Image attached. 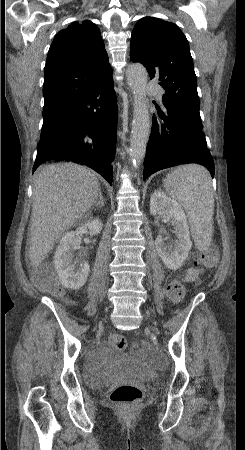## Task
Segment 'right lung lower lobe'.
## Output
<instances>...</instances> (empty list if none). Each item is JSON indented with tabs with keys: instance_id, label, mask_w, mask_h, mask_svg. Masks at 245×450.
I'll use <instances>...</instances> for the list:
<instances>
[{
	"instance_id": "1",
	"label": "right lung lower lobe",
	"mask_w": 245,
	"mask_h": 450,
	"mask_svg": "<svg viewBox=\"0 0 245 450\" xmlns=\"http://www.w3.org/2000/svg\"><path fill=\"white\" fill-rule=\"evenodd\" d=\"M43 118L33 171L45 161H72L87 165L112 185L117 131L112 74Z\"/></svg>"
}]
</instances>
